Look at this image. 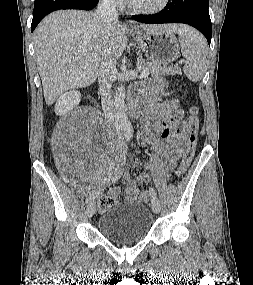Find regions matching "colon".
I'll list each match as a JSON object with an SVG mask.
<instances>
[{
	"label": "colon",
	"mask_w": 253,
	"mask_h": 285,
	"mask_svg": "<svg viewBox=\"0 0 253 285\" xmlns=\"http://www.w3.org/2000/svg\"><path fill=\"white\" fill-rule=\"evenodd\" d=\"M188 127H187V144L186 148L182 157V160L176 170V175L178 178L183 177L190 164L193 161L196 147H197V140H198V130H199V118H198V108L193 106L189 110V118L187 120ZM142 201L146 202L149 199V194L147 191H143L141 194ZM114 198L109 194H105L104 196H100L98 198V206L101 209H105L111 206L114 203Z\"/></svg>",
	"instance_id": "5ec220e1"
}]
</instances>
